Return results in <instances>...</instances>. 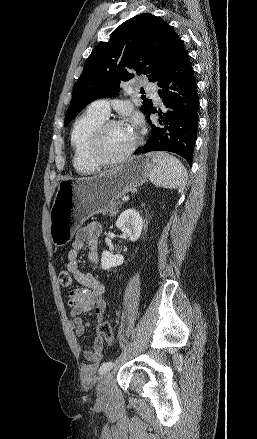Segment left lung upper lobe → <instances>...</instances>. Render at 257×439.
I'll list each match as a JSON object with an SVG mask.
<instances>
[{"label": "left lung upper lobe", "instance_id": "1", "mask_svg": "<svg viewBox=\"0 0 257 439\" xmlns=\"http://www.w3.org/2000/svg\"><path fill=\"white\" fill-rule=\"evenodd\" d=\"M178 39L168 23L150 13L122 23L111 33L110 40L97 45L86 60L73 89L65 125L90 102L116 95L120 84L130 80L133 72L145 74L151 82L157 81ZM143 99L141 111L147 114L152 101Z\"/></svg>", "mask_w": 257, "mask_h": 439}]
</instances>
